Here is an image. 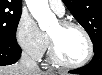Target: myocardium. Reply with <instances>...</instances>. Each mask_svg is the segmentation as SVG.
I'll list each match as a JSON object with an SVG mask.
<instances>
[{"instance_id":"myocardium-1","label":"myocardium","mask_w":102,"mask_h":75,"mask_svg":"<svg viewBox=\"0 0 102 75\" xmlns=\"http://www.w3.org/2000/svg\"><path fill=\"white\" fill-rule=\"evenodd\" d=\"M58 25L62 30H65L71 27L79 29L85 36V39L87 42V54L81 61L77 63H71V62L65 61L59 53V50L57 48L54 38L52 37V35L48 34L49 51H50V57L52 61L62 67H67V68L78 67L87 63L92 58V55H93V43L88 31L80 23L73 20H60L58 21Z\"/></svg>"}]
</instances>
